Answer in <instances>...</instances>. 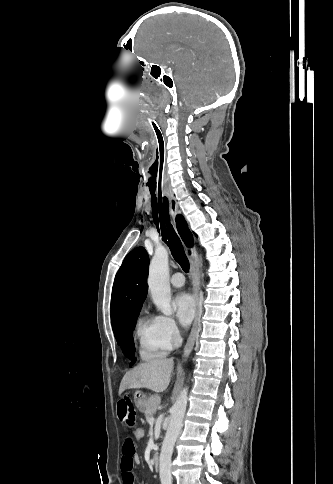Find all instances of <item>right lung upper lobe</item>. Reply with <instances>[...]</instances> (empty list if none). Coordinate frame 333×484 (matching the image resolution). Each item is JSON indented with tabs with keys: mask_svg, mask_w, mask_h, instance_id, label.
I'll return each mask as SVG.
<instances>
[{
	"mask_svg": "<svg viewBox=\"0 0 333 484\" xmlns=\"http://www.w3.org/2000/svg\"><path fill=\"white\" fill-rule=\"evenodd\" d=\"M176 225L182 239L193 245L192 235L183 216L176 217ZM149 257L144 247L131 251L116 274L111 297V321L113 331L131 313L139 312L147 295Z\"/></svg>",
	"mask_w": 333,
	"mask_h": 484,
	"instance_id": "right-lung-upper-lobe-1",
	"label": "right lung upper lobe"
}]
</instances>
